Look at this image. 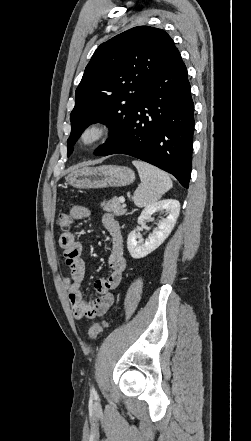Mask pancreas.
I'll list each match as a JSON object with an SVG mask.
<instances>
[{
  "label": "pancreas",
  "instance_id": "cf45deb5",
  "mask_svg": "<svg viewBox=\"0 0 251 441\" xmlns=\"http://www.w3.org/2000/svg\"><path fill=\"white\" fill-rule=\"evenodd\" d=\"M101 207L103 208L104 211L110 212L115 216H121L126 213V209L120 203L119 199L116 197L112 198L109 201L102 202Z\"/></svg>",
  "mask_w": 251,
  "mask_h": 441
}]
</instances>
